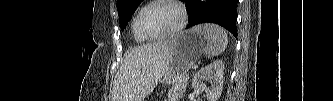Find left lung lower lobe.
<instances>
[{
	"mask_svg": "<svg viewBox=\"0 0 333 101\" xmlns=\"http://www.w3.org/2000/svg\"><path fill=\"white\" fill-rule=\"evenodd\" d=\"M190 15L187 28L200 23H216L237 38V2L238 0H183Z\"/></svg>",
	"mask_w": 333,
	"mask_h": 101,
	"instance_id": "0a47b994",
	"label": "left lung lower lobe"
}]
</instances>
